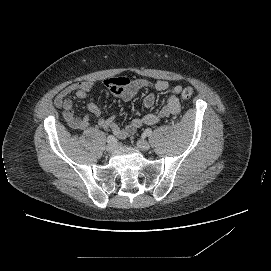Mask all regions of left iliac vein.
Segmentation results:
<instances>
[{
  "instance_id": "left-iliac-vein-1",
  "label": "left iliac vein",
  "mask_w": 271,
  "mask_h": 271,
  "mask_svg": "<svg viewBox=\"0 0 271 271\" xmlns=\"http://www.w3.org/2000/svg\"><path fill=\"white\" fill-rule=\"evenodd\" d=\"M137 147L142 151H147L150 149V144L144 139H139L137 141Z\"/></svg>"
}]
</instances>
